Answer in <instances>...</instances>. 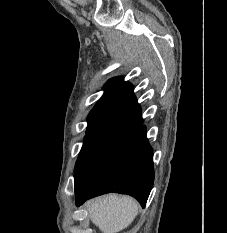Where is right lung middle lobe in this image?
Returning a JSON list of instances; mask_svg holds the SVG:
<instances>
[{
  "label": "right lung middle lobe",
  "mask_w": 227,
  "mask_h": 233,
  "mask_svg": "<svg viewBox=\"0 0 227 233\" xmlns=\"http://www.w3.org/2000/svg\"><path fill=\"white\" fill-rule=\"evenodd\" d=\"M118 138L109 134H87L74 171L75 187L82 181L90 168Z\"/></svg>",
  "instance_id": "right-lung-middle-lobe-1"
}]
</instances>
